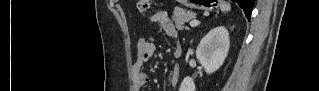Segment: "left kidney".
Instances as JSON below:
<instances>
[{
  "label": "left kidney",
  "instance_id": "1",
  "mask_svg": "<svg viewBox=\"0 0 319 91\" xmlns=\"http://www.w3.org/2000/svg\"><path fill=\"white\" fill-rule=\"evenodd\" d=\"M230 47L229 32L224 26L210 30L200 41L196 57L207 74L217 71L227 57ZM196 86L191 77L183 79L180 91H195Z\"/></svg>",
  "mask_w": 319,
  "mask_h": 91
}]
</instances>
